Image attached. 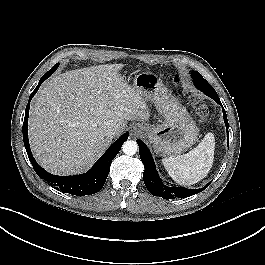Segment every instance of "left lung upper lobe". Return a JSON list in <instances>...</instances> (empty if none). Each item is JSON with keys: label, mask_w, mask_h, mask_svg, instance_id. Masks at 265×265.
I'll list each match as a JSON object with an SVG mask.
<instances>
[{"label": "left lung upper lobe", "mask_w": 265, "mask_h": 265, "mask_svg": "<svg viewBox=\"0 0 265 265\" xmlns=\"http://www.w3.org/2000/svg\"><path fill=\"white\" fill-rule=\"evenodd\" d=\"M191 76H192V78H196V77L203 78L202 75L197 71L192 72Z\"/></svg>", "instance_id": "obj_1"}]
</instances>
